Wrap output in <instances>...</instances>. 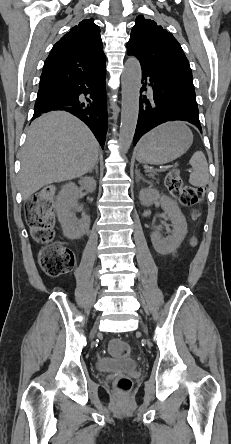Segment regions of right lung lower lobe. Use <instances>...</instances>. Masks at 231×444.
<instances>
[{
  "instance_id": "right-lung-lower-lobe-1",
  "label": "right lung lower lobe",
  "mask_w": 231,
  "mask_h": 444,
  "mask_svg": "<svg viewBox=\"0 0 231 444\" xmlns=\"http://www.w3.org/2000/svg\"><path fill=\"white\" fill-rule=\"evenodd\" d=\"M105 75L106 70L40 87L32 120L51 110L68 111L87 124L103 148L107 132ZM81 94L90 97L83 100Z\"/></svg>"
}]
</instances>
